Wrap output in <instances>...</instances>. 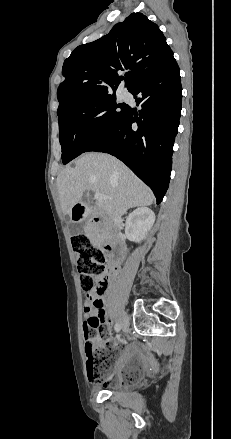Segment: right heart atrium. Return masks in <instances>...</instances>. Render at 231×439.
Listing matches in <instances>:
<instances>
[{"instance_id": "right-heart-atrium-1", "label": "right heart atrium", "mask_w": 231, "mask_h": 439, "mask_svg": "<svg viewBox=\"0 0 231 439\" xmlns=\"http://www.w3.org/2000/svg\"><path fill=\"white\" fill-rule=\"evenodd\" d=\"M92 130L95 135L101 134L103 131V124L100 121L94 122Z\"/></svg>"}]
</instances>
